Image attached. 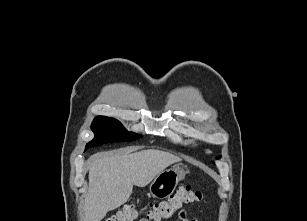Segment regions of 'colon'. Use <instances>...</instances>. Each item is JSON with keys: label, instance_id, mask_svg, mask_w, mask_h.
I'll return each instance as SVG.
<instances>
[{"label": "colon", "instance_id": "obj_1", "mask_svg": "<svg viewBox=\"0 0 307 221\" xmlns=\"http://www.w3.org/2000/svg\"><path fill=\"white\" fill-rule=\"evenodd\" d=\"M203 198L201 191L185 185L166 200L150 202L145 209H140L135 204H126L105 221H162L173 217L184 205L200 202Z\"/></svg>", "mask_w": 307, "mask_h": 221}]
</instances>
